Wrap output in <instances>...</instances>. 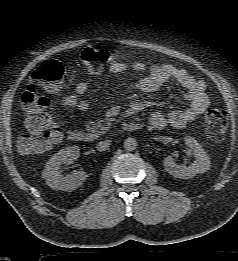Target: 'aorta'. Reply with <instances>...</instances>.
<instances>
[{
  "label": "aorta",
  "instance_id": "aorta-1",
  "mask_svg": "<svg viewBox=\"0 0 238 261\" xmlns=\"http://www.w3.org/2000/svg\"><path fill=\"white\" fill-rule=\"evenodd\" d=\"M124 148L127 151H134L137 148V141L133 137H128L124 140Z\"/></svg>",
  "mask_w": 238,
  "mask_h": 261
}]
</instances>
